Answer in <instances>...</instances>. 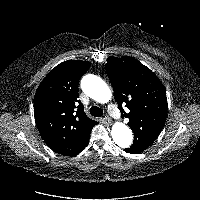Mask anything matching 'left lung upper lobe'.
<instances>
[{
	"instance_id": "left-lung-upper-lobe-1",
	"label": "left lung upper lobe",
	"mask_w": 200,
	"mask_h": 200,
	"mask_svg": "<svg viewBox=\"0 0 200 200\" xmlns=\"http://www.w3.org/2000/svg\"><path fill=\"white\" fill-rule=\"evenodd\" d=\"M106 71L122 117L129 118L128 126L134 133L133 146L147 148L165 124L168 107L163 84L149 68L128 56H110ZM122 104L128 112L123 110Z\"/></svg>"
}]
</instances>
